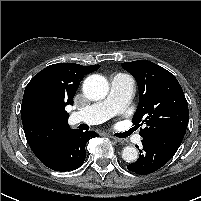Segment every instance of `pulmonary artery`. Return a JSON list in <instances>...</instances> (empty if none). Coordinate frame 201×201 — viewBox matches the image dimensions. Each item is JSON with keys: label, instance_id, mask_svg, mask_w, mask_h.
I'll use <instances>...</instances> for the list:
<instances>
[{"label": "pulmonary artery", "instance_id": "1", "mask_svg": "<svg viewBox=\"0 0 201 201\" xmlns=\"http://www.w3.org/2000/svg\"><path fill=\"white\" fill-rule=\"evenodd\" d=\"M133 93V78L128 74L117 73L110 80V91L107 98L82 111L73 112L69 117L70 123L89 125L103 123L112 116L121 113L130 102ZM137 140H140V137H137Z\"/></svg>", "mask_w": 201, "mask_h": 201}]
</instances>
